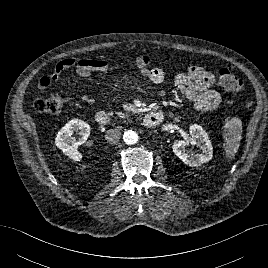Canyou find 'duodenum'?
<instances>
[{"label":"duodenum","mask_w":268,"mask_h":268,"mask_svg":"<svg viewBox=\"0 0 268 268\" xmlns=\"http://www.w3.org/2000/svg\"><path fill=\"white\" fill-rule=\"evenodd\" d=\"M163 115L159 112H150L143 119V126L155 127L161 123ZM95 121L100 125H108L112 122V117L104 112H98L95 116Z\"/></svg>","instance_id":"duodenum-1"}]
</instances>
